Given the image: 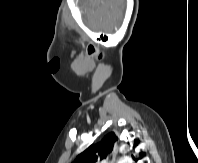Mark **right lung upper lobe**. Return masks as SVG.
Segmentation results:
<instances>
[{
  "label": "right lung upper lobe",
  "instance_id": "right-lung-upper-lobe-1",
  "mask_svg": "<svg viewBox=\"0 0 198 163\" xmlns=\"http://www.w3.org/2000/svg\"><path fill=\"white\" fill-rule=\"evenodd\" d=\"M118 137L114 132L106 135L100 142L90 145L72 163H101L112 152Z\"/></svg>",
  "mask_w": 198,
  "mask_h": 163
}]
</instances>
